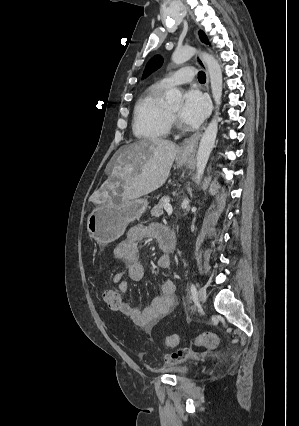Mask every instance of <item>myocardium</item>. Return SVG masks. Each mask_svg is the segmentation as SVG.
<instances>
[{"label": "myocardium", "mask_w": 299, "mask_h": 426, "mask_svg": "<svg viewBox=\"0 0 299 426\" xmlns=\"http://www.w3.org/2000/svg\"><path fill=\"white\" fill-rule=\"evenodd\" d=\"M169 117H170L171 123L177 122V115H176L175 112L172 111V109L170 107H169Z\"/></svg>", "instance_id": "f54148a6"}]
</instances>
